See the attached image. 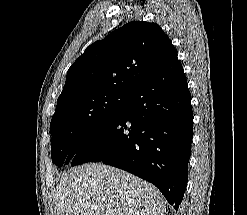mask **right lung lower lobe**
Wrapping results in <instances>:
<instances>
[{"instance_id": "1", "label": "right lung lower lobe", "mask_w": 247, "mask_h": 215, "mask_svg": "<svg viewBox=\"0 0 247 215\" xmlns=\"http://www.w3.org/2000/svg\"><path fill=\"white\" fill-rule=\"evenodd\" d=\"M193 137L191 98L172 53L108 123L80 139L65 164L103 162L153 183L178 209L188 181Z\"/></svg>"}]
</instances>
